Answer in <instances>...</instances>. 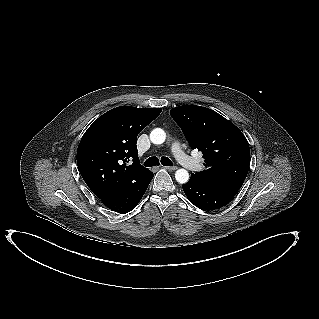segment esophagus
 I'll use <instances>...</instances> for the list:
<instances>
[{
    "instance_id": "esophagus-1",
    "label": "esophagus",
    "mask_w": 319,
    "mask_h": 319,
    "mask_svg": "<svg viewBox=\"0 0 319 319\" xmlns=\"http://www.w3.org/2000/svg\"><path fill=\"white\" fill-rule=\"evenodd\" d=\"M164 169L169 170V171H173L176 170L177 167L176 166H163Z\"/></svg>"
}]
</instances>
